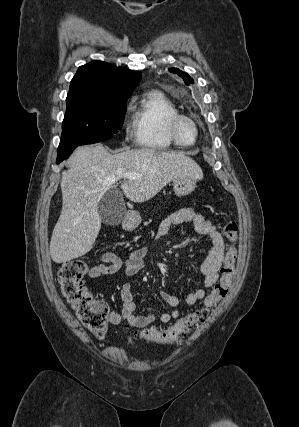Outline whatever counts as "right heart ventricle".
<instances>
[{
	"label": "right heart ventricle",
	"mask_w": 299,
	"mask_h": 427,
	"mask_svg": "<svg viewBox=\"0 0 299 427\" xmlns=\"http://www.w3.org/2000/svg\"><path fill=\"white\" fill-rule=\"evenodd\" d=\"M132 110L131 132L138 147L155 151L174 147L166 131V122L179 111L167 95L157 89L148 90L133 102Z\"/></svg>",
	"instance_id": "obj_1"
}]
</instances>
